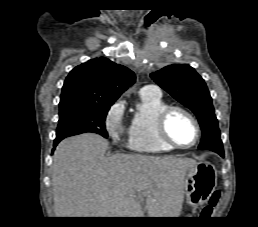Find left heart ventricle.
Instances as JSON below:
<instances>
[{
    "mask_svg": "<svg viewBox=\"0 0 258 227\" xmlns=\"http://www.w3.org/2000/svg\"><path fill=\"white\" fill-rule=\"evenodd\" d=\"M171 137L180 145L191 144L196 136L191 120L182 113H173L167 123Z\"/></svg>",
    "mask_w": 258,
    "mask_h": 227,
    "instance_id": "1",
    "label": "left heart ventricle"
}]
</instances>
